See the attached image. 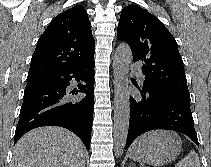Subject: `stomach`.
Listing matches in <instances>:
<instances>
[{"label": "stomach", "instance_id": "stomach-1", "mask_svg": "<svg viewBox=\"0 0 211 167\" xmlns=\"http://www.w3.org/2000/svg\"><path fill=\"white\" fill-rule=\"evenodd\" d=\"M180 137L171 131L156 130L139 137L131 146L132 160L161 166L174 160L181 151Z\"/></svg>", "mask_w": 211, "mask_h": 167}]
</instances>
